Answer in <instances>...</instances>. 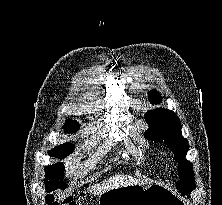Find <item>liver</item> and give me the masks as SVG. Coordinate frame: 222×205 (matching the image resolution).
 <instances>
[{
	"mask_svg": "<svg viewBox=\"0 0 222 205\" xmlns=\"http://www.w3.org/2000/svg\"><path fill=\"white\" fill-rule=\"evenodd\" d=\"M139 183V179H136L130 175H117L109 178L103 183L93 185L91 188H89V191L94 195H100L111 189Z\"/></svg>",
	"mask_w": 222,
	"mask_h": 205,
	"instance_id": "liver-1",
	"label": "liver"
}]
</instances>
